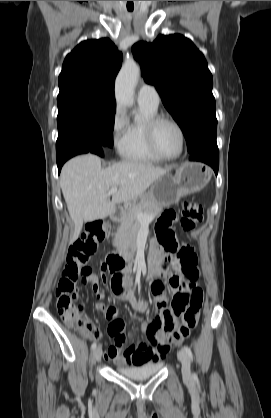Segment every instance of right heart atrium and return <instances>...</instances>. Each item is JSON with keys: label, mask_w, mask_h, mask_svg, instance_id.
Returning <instances> with one entry per match:
<instances>
[{"label": "right heart atrium", "mask_w": 271, "mask_h": 418, "mask_svg": "<svg viewBox=\"0 0 271 418\" xmlns=\"http://www.w3.org/2000/svg\"><path fill=\"white\" fill-rule=\"evenodd\" d=\"M126 127V119L121 108H117L112 120V141L116 148L120 149L123 143V137Z\"/></svg>", "instance_id": "right-heart-atrium-1"}]
</instances>
